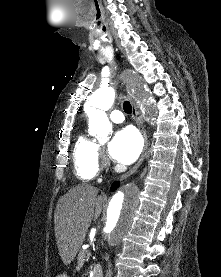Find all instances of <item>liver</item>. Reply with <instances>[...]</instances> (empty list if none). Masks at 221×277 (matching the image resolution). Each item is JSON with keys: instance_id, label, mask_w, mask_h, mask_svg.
<instances>
[{"instance_id": "liver-1", "label": "liver", "mask_w": 221, "mask_h": 277, "mask_svg": "<svg viewBox=\"0 0 221 277\" xmlns=\"http://www.w3.org/2000/svg\"><path fill=\"white\" fill-rule=\"evenodd\" d=\"M103 208V196L89 184L71 188L57 203L54 214L55 237L64 264H70L79 252L92 220Z\"/></svg>"}]
</instances>
